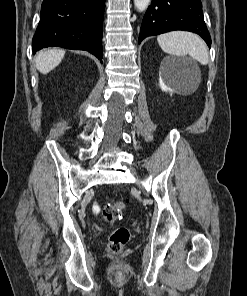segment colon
I'll use <instances>...</instances> for the list:
<instances>
[{
	"label": "colon",
	"mask_w": 247,
	"mask_h": 296,
	"mask_svg": "<svg viewBox=\"0 0 247 296\" xmlns=\"http://www.w3.org/2000/svg\"><path fill=\"white\" fill-rule=\"evenodd\" d=\"M128 200L110 202L102 209V217L110 224H114L120 217L121 211L128 205ZM130 232L126 227L113 229L109 236L108 251L112 254L120 253L128 244Z\"/></svg>",
	"instance_id": "1"
}]
</instances>
